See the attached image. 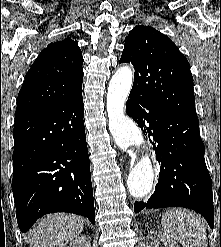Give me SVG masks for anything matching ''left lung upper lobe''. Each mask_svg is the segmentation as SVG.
<instances>
[{"label":"left lung upper lobe","mask_w":221,"mask_h":247,"mask_svg":"<svg viewBox=\"0 0 221 247\" xmlns=\"http://www.w3.org/2000/svg\"><path fill=\"white\" fill-rule=\"evenodd\" d=\"M135 68L131 94L178 115L198 119L190 66L177 46L150 26H135L119 63Z\"/></svg>","instance_id":"1"}]
</instances>
